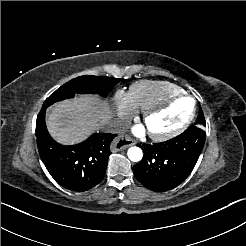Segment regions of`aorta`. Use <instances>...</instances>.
Here are the masks:
<instances>
[{
	"mask_svg": "<svg viewBox=\"0 0 246 246\" xmlns=\"http://www.w3.org/2000/svg\"><path fill=\"white\" fill-rule=\"evenodd\" d=\"M127 155L131 161L139 162L143 157V152L139 147L133 146L128 149Z\"/></svg>",
	"mask_w": 246,
	"mask_h": 246,
	"instance_id": "1",
	"label": "aorta"
}]
</instances>
